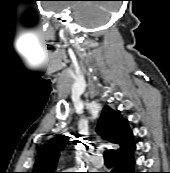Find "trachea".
<instances>
[{
  "label": "trachea",
  "instance_id": "3493384b",
  "mask_svg": "<svg viewBox=\"0 0 170 173\" xmlns=\"http://www.w3.org/2000/svg\"><path fill=\"white\" fill-rule=\"evenodd\" d=\"M104 159L106 161H113V158H112V150H106L104 152Z\"/></svg>",
  "mask_w": 170,
  "mask_h": 173
}]
</instances>
